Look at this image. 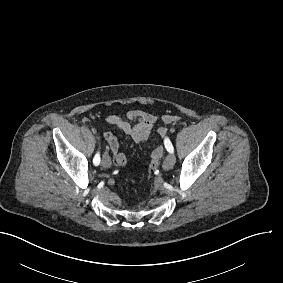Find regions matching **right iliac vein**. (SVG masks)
Instances as JSON below:
<instances>
[{
  "instance_id": "63e3f726",
  "label": "right iliac vein",
  "mask_w": 283,
  "mask_h": 283,
  "mask_svg": "<svg viewBox=\"0 0 283 283\" xmlns=\"http://www.w3.org/2000/svg\"><path fill=\"white\" fill-rule=\"evenodd\" d=\"M101 165H102L105 169L111 167V159L109 158V156H108L106 153L103 154V158H102Z\"/></svg>"
}]
</instances>
